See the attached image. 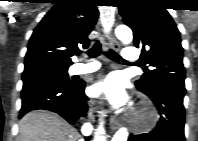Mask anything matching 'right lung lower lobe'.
Listing matches in <instances>:
<instances>
[{
  "label": "right lung lower lobe",
  "mask_w": 198,
  "mask_h": 141,
  "mask_svg": "<svg viewBox=\"0 0 198 141\" xmlns=\"http://www.w3.org/2000/svg\"><path fill=\"white\" fill-rule=\"evenodd\" d=\"M84 89L83 80L69 84L52 79L24 82L19 117L32 110L44 109L61 115L73 124L80 117L86 116L88 98L84 94Z\"/></svg>",
  "instance_id": "right-lung-lower-lobe-1"
}]
</instances>
